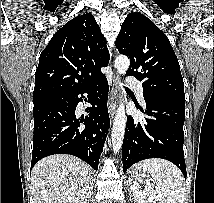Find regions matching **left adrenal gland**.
Segmentation results:
<instances>
[{
  "label": "left adrenal gland",
  "mask_w": 214,
  "mask_h": 203,
  "mask_svg": "<svg viewBox=\"0 0 214 203\" xmlns=\"http://www.w3.org/2000/svg\"><path fill=\"white\" fill-rule=\"evenodd\" d=\"M129 190V197H130V199H131V197H132V193H131V190L130 189H128Z\"/></svg>",
  "instance_id": "a2214340"
}]
</instances>
